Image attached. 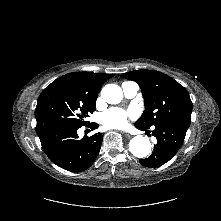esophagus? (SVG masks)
<instances>
[{"mask_svg": "<svg viewBox=\"0 0 221 221\" xmlns=\"http://www.w3.org/2000/svg\"><path fill=\"white\" fill-rule=\"evenodd\" d=\"M124 134H125V136L127 137V138H131L132 137V135L130 134V133H127V132H123Z\"/></svg>", "mask_w": 221, "mask_h": 221, "instance_id": "1", "label": "esophagus"}]
</instances>
